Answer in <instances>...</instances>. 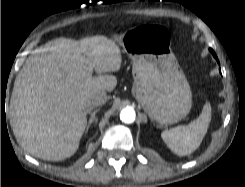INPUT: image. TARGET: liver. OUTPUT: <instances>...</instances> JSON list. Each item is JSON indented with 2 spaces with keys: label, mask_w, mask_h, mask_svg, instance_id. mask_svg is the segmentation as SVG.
Instances as JSON below:
<instances>
[{
  "label": "liver",
  "mask_w": 245,
  "mask_h": 187,
  "mask_svg": "<svg viewBox=\"0 0 245 187\" xmlns=\"http://www.w3.org/2000/svg\"><path fill=\"white\" fill-rule=\"evenodd\" d=\"M122 62L116 42L105 36L57 38L36 48L18 73L10 99V124L19 145L49 161L71 157L87 125L91 94L111 92Z\"/></svg>",
  "instance_id": "1"
}]
</instances>
